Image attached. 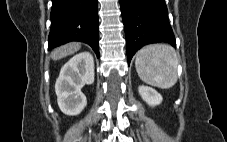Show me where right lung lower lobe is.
Here are the masks:
<instances>
[{"instance_id":"obj_1","label":"right lung lower lobe","mask_w":227,"mask_h":142,"mask_svg":"<svg viewBox=\"0 0 227 142\" xmlns=\"http://www.w3.org/2000/svg\"><path fill=\"white\" fill-rule=\"evenodd\" d=\"M48 49L71 41L89 44L99 57L97 0H52Z\"/></svg>"}]
</instances>
